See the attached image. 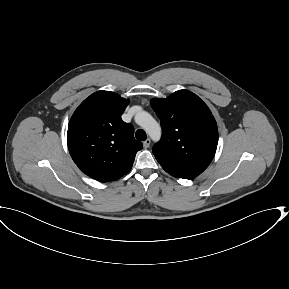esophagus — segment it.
I'll use <instances>...</instances> for the list:
<instances>
[{"instance_id": "esophagus-1", "label": "esophagus", "mask_w": 289, "mask_h": 289, "mask_svg": "<svg viewBox=\"0 0 289 289\" xmlns=\"http://www.w3.org/2000/svg\"><path fill=\"white\" fill-rule=\"evenodd\" d=\"M151 144V140L148 138L143 142V146L144 148H148Z\"/></svg>"}]
</instances>
